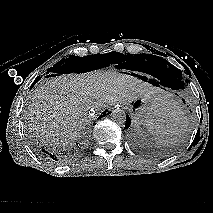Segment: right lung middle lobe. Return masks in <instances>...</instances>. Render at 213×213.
Instances as JSON below:
<instances>
[{"mask_svg":"<svg viewBox=\"0 0 213 213\" xmlns=\"http://www.w3.org/2000/svg\"><path fill=\"white\" fill-rule=\"evenodd\" d=\"M125 56L126 55L115 51L107 54H96L85 57L70 55V58L62 59L51 69H48V72L65 74L76 71L78 73H82L107 67L110 64H118L117 67H121L122 64L119 63L125 61Z\"/></svg>","mask_w":213,"mask_h":213,"instance_id":"dd1d6c3e","label":"right lung middle lobe"}]
</instances>
